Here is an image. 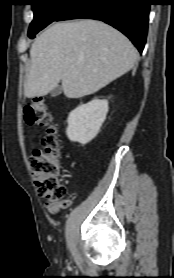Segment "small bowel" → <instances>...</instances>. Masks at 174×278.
Here are the masks:
<instances>
[{
  "instance_id": "c3829d8e",
  "label": "small bowel",
  "mask_w": 174,
  "mask_h": 278,
  "mask_svg": "<svg viewBox=\"0 0 174 278\" xmlns=\"http://www.w3.org/2000/svg\"><path fill=\"white\" fill-rule=\"evenodd\" d=\"M71 202H72L71 200H67L64 203H53V204L47 203L46 207L49 209V211L55 213L62 208L68 207L71 204Z\"/></svg>"
}]
</instances>
